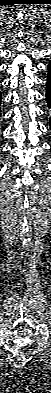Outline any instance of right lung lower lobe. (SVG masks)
<instances>
[{
  "instance_id": "1",
  "label": "right lung lower lobe",
  "mask_w": 51,
  "mask_h": 393,
  "mask_svg": "<svg viewBox=\"0 0 51 393\" xmlns=\"http://www.w3.org/2000/svg\"><path fill=\"white\" fill-rule=\"evenodd\" d=\"M0 105H1V93H0ZM0 111H1V109H0ZM0 115H1V113H0Z\"/></svg>"
}]
</instances>
